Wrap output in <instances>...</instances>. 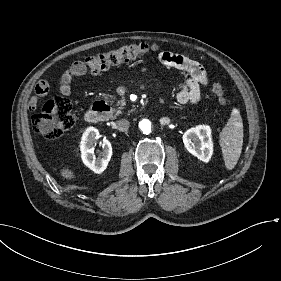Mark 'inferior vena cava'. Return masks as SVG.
Wrapping results in <instances>:
<instances>
[{"instance_id":"obj_1","label":"inferior vena cava","mask_w":281,"mask_h":281,"mask_svg":"<svg viewBox=\"0 0 281 281\" xmlns=\"http://www.w3.org/2000/svg\"><path fill=\"white\" fill-rule=\"evenodd\" d=\"M129 125L130 123L126 119H121L116 122V128L122 132L127 131L129 129Z\"/></svg>"}]
</instances>
